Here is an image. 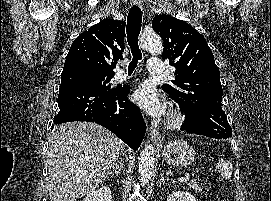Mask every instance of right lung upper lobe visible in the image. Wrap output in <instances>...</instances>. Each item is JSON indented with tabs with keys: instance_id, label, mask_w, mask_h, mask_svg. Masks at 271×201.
Masks as SVG:
<instances>
[{
	"instance_id": "right-lung-upper-lobe-1",
	"label": "right lung upper lobe",
	"mask_w": 271,
	"mask_h": 201,
	"mask_svg": "<svg viewBox=\"0 0 271 201\" xmlns=\"http://www.w3.org/2000/svg\"><path fill=\"white\" fill-rule=\"evenodd\" d=\"M125 22L105 19L80 34L67 54L63 72L82 69L114 75L115 63L123 59Z\"/></svg>"
}]
</instances>
